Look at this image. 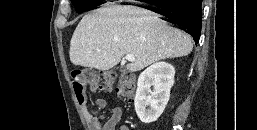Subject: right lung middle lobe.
Here are the masks:
<instances>
[{
  "mask_svg": "<svg viewBox=\"0 0 257 130\" xmlns=\"http://www.w3.org/2000/svg\"><path fill=\"white\" fill-rule=\"evenodd\" d=\"M103 2L104 0H72V3L78 13L88 11Z\"/></svg>",
  "mask_w": 257,
  "mask_h": 130,
  "instance_id": "right-lung-middle-lobe-1",
  "label": "right lung middle lobe"
}]
</instances>
